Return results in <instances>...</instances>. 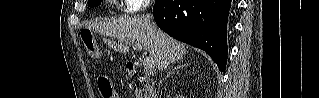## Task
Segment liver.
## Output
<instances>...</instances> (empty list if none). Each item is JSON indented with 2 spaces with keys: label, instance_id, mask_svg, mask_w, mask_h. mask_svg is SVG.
Instances as JSON below:
<instances>
[{
  "label": "liver",
  "instance_id": "obj_1",
  "mask_svg": "<svg viewBox=\"0 0 319 98\" xmlns=\"http://www.w3.org/2000/svg\"><path fill=\"white\" fill-rule=\"evenodd\" d=\"M89 28L104 36V42L112 49L127 53L129 45L140 44L150 54L154 66L163 71L170 64L181 61L188 54L186 45L178 42L153 25L149 27L144 17H120L92 23ZM117 38L118 42L106 39Z\"/></svg>",
  "mask_w": 319,
  "mask_h": 98
}]
</instances>
